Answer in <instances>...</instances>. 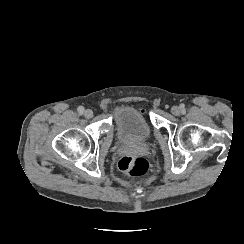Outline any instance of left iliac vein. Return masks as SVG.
<instances>
[{
	"mask_svg": "<svg viewBox=\"0 0 244 244\" xmlns=\"http://www.w3.org/2000/svg\"><path fill=\"white\" fill-rule=\"evenodd\" d=\"M171 113L175 116H179L181 114V109L178 106H173L171 108Z\"/></svg>",
	"mask_w": 244,
	"mask_h": 244,
	"instance_id": "obj_1",
	"label": "left iliac vein"
}]
</instances>
